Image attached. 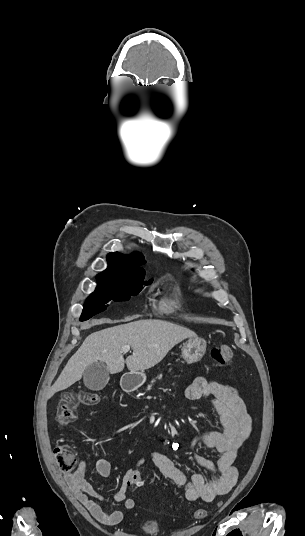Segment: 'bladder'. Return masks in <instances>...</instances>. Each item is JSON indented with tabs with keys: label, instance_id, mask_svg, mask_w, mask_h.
I'll list each match as a JSON object with an SVG mask.
<instances>
[{
	"label": "bladder",
	"instance_id": "1",
	"mask_svg": "<svg viewBox=\"0 0 305 536\" xmlns=\"http://www.w3.org/2000/svg\"><path fill=\"white\" fill-rule=\"evenodd\" d=\"M140 532L145 536H157L162 532L161 523L155 520H144L140 524Z\"/></svg>",
	"mask_w": 305,
	"mask_h": 536
}]
</instances>
